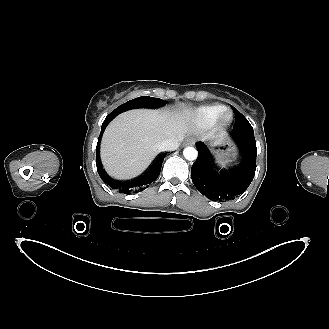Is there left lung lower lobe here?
<instances>
[{"instance_id":"obj_1","label":"left lung lower lobe","mask_w":329,"mask_h":329,"mask_svg":"<svg viewBox=\"0 0 329 329\" xmlns=\"http://www.w3.org/2000/svg\"><path fill=\"white\" fill-rule=\"evenodd\" d=\"M230 134L241 150L238 166L229 170H218L206 146L199 144L198 157L191 168L196 189L214 201L235 199L249 187L255 175L257 147L253 128L233 129Z\"/></svg>"}]
</instances>
